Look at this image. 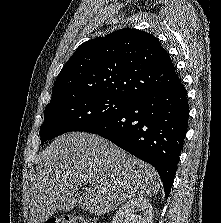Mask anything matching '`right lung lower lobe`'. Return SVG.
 <instances>
[{
    "mask_svg": "<svg viewBox=\"0 0 221 223\" xmlns=\"http://www.w3.org/2000/svg\"><path fill=\"white\" fill-rule=\"evenodd\" d=\"M187 90L177 85L135 99L85 132L98 134L155 167L168 198L188 127Z\"/></svg>",
    "mask_w": 221,
    "mask_h": 223,
    "instance_id": "right-lung-lower-lobe-1",
    "label": "right lung lower lobe"
}]
</instances>
